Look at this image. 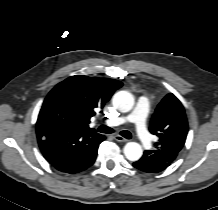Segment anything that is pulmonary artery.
<instances>
[{"instance_id":"pulmonary-artery-1","label":"pulmonary artery","mask_w":218,"mask_h":210,"mask_svg":"<svg viewBox=\"0 0 218 210\" xmlns=\"http://www.w3.org/2000/svg\"><path fill=\"white\" fill-rule=\"evenodd\" d=\"M150 107V100L147 97H141L134 112L127 116L109 119L107 124L110 126H119L127 122L135 123L137 135L145 148H150L152 141L146 129V117Z\"/></svg>"}]
</instances>
